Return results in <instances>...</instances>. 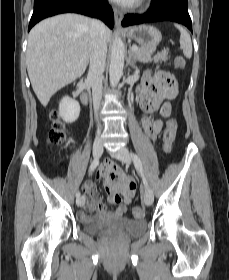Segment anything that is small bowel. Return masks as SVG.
Here are the masks:
<instances>
[{
    "label": "small bowel",
    "mask_w": 229,
    "mask_h": 280,
    "mask_svg": "<svg viewBox=\"0 0 229 280\" xmlns=\"http://www.w3.org/2000/svg\"><path fill=\"white\" fill-rule=\"evenodd\" d=\"M177 68H182L176 63ZM178 89L174 94H171L161 81L149 74L143 76L138 89V102L144 113L147 115L159 114L162 117H168L171 113V105L168 100L176 97ZM140 124L146 135L150 138H155L161 131L163 123L160 119L142 118ZM117 173H122L119 167L116 168ZM115 173L112 168V163L108 162L101 167L95 174V178L103 179L110 190L108 198L109 203L117 205L112 212L106 205L99 200V195L93 185L89 182L83 184V192L85 203L83 208L77 212V217L81 221L96 219L93 214L100 213V219L106 220L110 218H122L130 203L131 198L135 194L136 182L131 177H125L121 182L114 183L111 180V174Z\"/></svg>",
    "instance_id": "1"
}]
</instances>
